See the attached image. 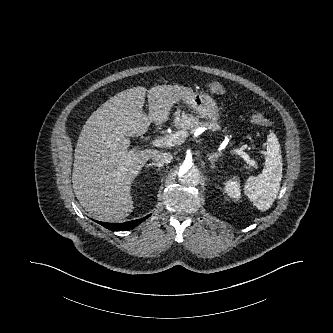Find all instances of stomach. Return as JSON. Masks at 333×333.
<instances>
[{"instance_id":"obj_1","label":"stomach","mask_w":333,"mask_h":333,"mask_svg":"<svg viewBox=\"0 0 333 333\" xmlns=\"http://www.w3.org/2000/svg\"><path fill=\"white\" fill-rule=\"evenodd\" d=\"M182 102L194 109L201 118L208 120L209 124L219 121L217 103L208 94L192 92Z\"/></svg>"}]
</instances>
